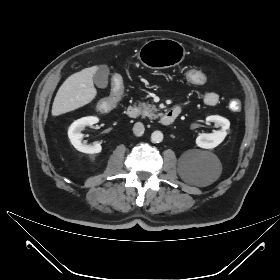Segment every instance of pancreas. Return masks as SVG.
<instances>
[{
	"label": "pancreas",
	"mask_w": 280,
	"mask_h": 280,
	"mask_svg": "<svg viewBox=\"0 0 280 280\" xmlns=\"http://www.w3.org/2000/svg\"><path fill=\"white\" fill-rule=\"evenodd\" d=\"M138 107L143 117H148L149 119H155L159 116L158 114H156L157 108L153 104H148L143 102L140 103Z\"/></svg>",
	"instance_id": "cf45deb5"
}]
</instances>
